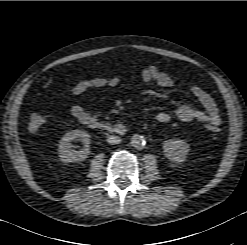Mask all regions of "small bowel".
I'll return each instance as SVG.
<instances>
[{
	"label": "small bowel",
	"instance_id": "small-bowel-1",
	"mask_svg": "<svg viewBox=\"0 0 247 245\" xmlns=\"http://www.w3.org/2000/svg\"><path fill=\"white\" fill-rule=\"evenodd\" d=\"M140 76L145 83L154 84L159 88H170L174 85L171 76L155 65L145 66L141 70ZM120 81L121 79L119 76H110L108 77V84L106 87H115L119 85ZM189 89L192 95L201 104L202 109L194 108L189 105H180L176 107L174 115L184 122L197 120L201 123H208L218 127L221 124V116L214 98L198 85H191ZM86 91L87 90L82 87V83L80 82L71 89V94L73 96H79ZM70 114L81 124L87 126H92L98 120V113L88 112L79 104H73L70 107ZM156 120L161 124L168 123L171 120V114L160 111L156 115Z\"/></svg>",
	"mask_w": 247,
	"mask_h": 245
}]
</instances>
